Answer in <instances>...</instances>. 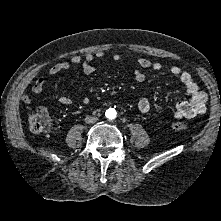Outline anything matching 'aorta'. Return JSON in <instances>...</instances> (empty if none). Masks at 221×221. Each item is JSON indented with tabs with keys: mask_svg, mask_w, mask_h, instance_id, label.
Masks as SVG:
<instances>
[{
	"mask_svg": "<svg viewBox=\"0 0 221 221\" xmlns=\"http://www.w3.org/2000/svg\"><path fill=\"white\" fill-rule=\"evenodd\" d=\"M116 110L114 108H109L106 112H105V116L109 119V120H113L116 118Z\"/></svg>",
	"mask_w": 221,
	"mask_h": 221,
	"instance_id": "762f6f07",
	"label": "aorta"
}]
</instances>
